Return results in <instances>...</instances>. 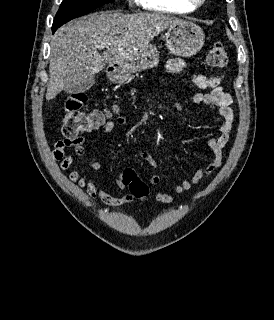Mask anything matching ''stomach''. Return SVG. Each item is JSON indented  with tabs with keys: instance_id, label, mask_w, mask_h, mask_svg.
<instances>
[{
	"instance_id": "1",
	"label": "stomach",
	"mask_w": 274,
	"mask_h": 320,
	"mask_svg": "<svg viewBox=\"0 0 274 320\" xmlns=\"http://www.w3.org/2000/svg\"><path fill=\"white\" fill-rule=\"evenodd\" d=\"M205 42L203 30L193 22H178L174 26H169L165 34V46L170 54L190 58L202 50ZM159 54L154 46H146L135 58L121 62V64H111L106 70V74L115 84H123L127 78L135 72H143L157 66Z\"/></svg>"
}]
</instances>
